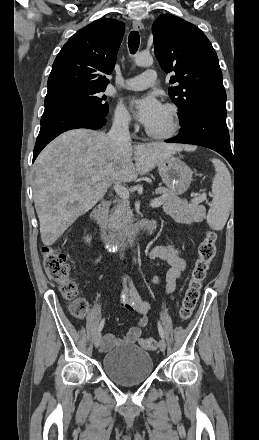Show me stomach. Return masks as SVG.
Masks as SVG:
<instances>
[{
	"label": "stomach",
	"instance_id": "1",
	"mask_svg": "<svg viewBox=\"0 0 259 440\" xmlns=\"http://www.w3.org/2000/svg\"><path fill=\"white\" fill-rule=\"evenodd\" d=\"M157 167L164 184L175 195H182L188 190L193 172L179 158L171 156L158 163Z\"/></svg>",
	"mask_w": 259,
	"mask_h": 440
}]
</instances>
